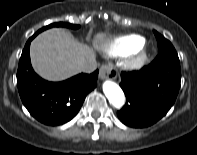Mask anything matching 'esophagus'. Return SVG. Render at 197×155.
<instances>
[{"label": "esophagus", "mask_w": 197, "mask_h": 155, "mask_svg": "<svg viewBox=\"0 0 197 155\" xmlns=\"http://www.w3.org/2000/svg\"><path fill=\"white\" fill-rule=\"evenodd\" d=\"M117 70L110 65H102L100 67V78L102 80H113L117 77Z\"/></svg>", "instance_id": "obj_1"}]
</instances>
